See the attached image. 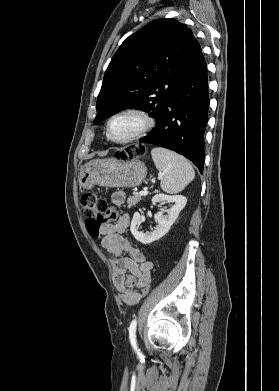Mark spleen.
I'll list each match as a JSON object with an SVG mask.
<instances>
[{"label": "spleen", "instance_id": "3e777b00", "mask_svg": "<svg viewBox=\"0 0 279 391\" xmlns=\"http://www.w3.org/2000/svg\"><path fill=\"white\" fill-rule=\"evenodd\" d=\"M151 155L156 168L162 173L160 186L164 192H181L194 179V169L183 156L162 147L153 148Z\"/></svg>", "mask_w": 279, "mask_h": 391}]
</instances>
